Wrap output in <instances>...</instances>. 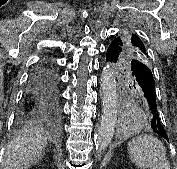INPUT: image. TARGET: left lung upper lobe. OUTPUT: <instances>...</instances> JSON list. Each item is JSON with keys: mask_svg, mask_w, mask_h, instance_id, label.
<instances>
[{"mask_svg": "<svg viewBox=\"0 0 177 169\" xmlns=\"http://www.w3.org/2000/svg\"><path fill=\"white\" fill-rule=\"evenodd\" d=\"M112 42L117 43L120 47L118 64H123L130 59H138L149 66L146 47L138 35L126 32L121 37L116 36Z\"/></svg>", "mask_w": 177, "mask_h": 169, "instance_id": "left-lung-upper-lobe-1", "label": "left lung upper lobe"}]
</instances>
